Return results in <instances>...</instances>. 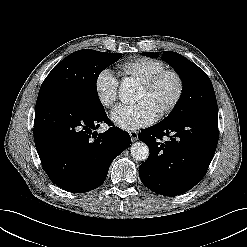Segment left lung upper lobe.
<instances>
[{"label": "left lung upper lobe", "mask_w": 247, "mask_h": 247, "mask_svg": "<svg viewBox=\"0 0 247 247\" xmlns=\"http://www.w3.org/2000/svg\"><path fill=\"white\" fill-rule=\"evenodd\" d=\"M143 55L158 56L152 52H143ZM162 58L176 70L183 83L182 95L164 121H173L197 113H218L212 83L201 68L176 52L164 51Z\"/></svg>", "instance_id": "5c2ea615"}]
</instances>
